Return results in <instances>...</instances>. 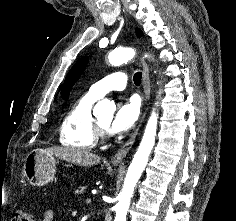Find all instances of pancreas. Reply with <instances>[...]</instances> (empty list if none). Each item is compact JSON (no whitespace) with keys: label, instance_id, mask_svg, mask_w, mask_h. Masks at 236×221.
Instances as JSON below:
<instances>
[{"label":"pancreas","instance_id":"cf45deb5","mask_svg":"<svg viewBox=\"0 0 236 221\" xmlns=\"http://www.w3.org/2000/svg\"><path fill=\"white\" fill-rule=\"evenodd\" d=\"M84 189L85 187H82V186L79 187V189L75 191V194H78V195L84 194L85 192Z\"/></svg>","mask_w":236,"mask_h":221}]
</instances>
